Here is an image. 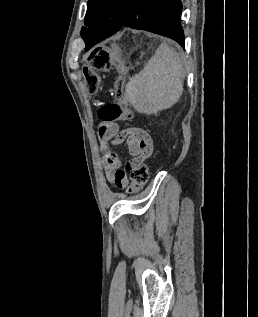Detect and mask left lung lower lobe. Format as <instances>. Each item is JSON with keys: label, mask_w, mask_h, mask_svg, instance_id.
Returning a JSON list of instances; mask_svg holds the SVG:
<instances>
[{"label": "left lung lower lobe", "mask_w": 258, "mask_h": 317, "mask_svg": "<svg viewBox=\"0 0 258 317\" xmlns=\"http://www.w3.org/2000/svg\"><path fill=\"white\" fill-rule=\"evenodd\" d=\"M182 3L180 0H131L124 22L119 28L100 26L83 39L85 50L113 35L123 27L140 29L173 39L184 48V33L180 24Z\"/></svg>", "instance_id": "obj_1"}]
</instances>
